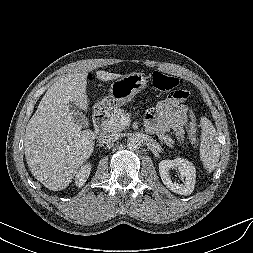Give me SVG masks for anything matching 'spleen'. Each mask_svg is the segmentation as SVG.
Wrapping results in <instances>:
<instances>
[{"label": "spleen", "mask_w": 253, "mask_h": 253, "mask_svg": "<svg viewBox=\"0 0 253 253\" xmlns=\"http://www.w3.org/2000/svg\"><path fill=\"white\" fill-rule=\"evenodd\" d=\"M201 143H200V160L203 167L212 172L220 158V144L218 136L211 121L206 117H201Z\"/></svg>", "instance_id": "spleen-1"}]
</instances>
